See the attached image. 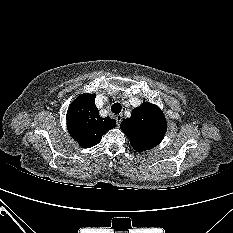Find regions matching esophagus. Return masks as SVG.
I'll return each mask as SVG.
<instances>
[{
  "mask_svg": "<svg viewBox=\"0 0 233 233\" xmlns=\"http://www.w3.org/2000/svg\"><path fill=\"white\" fill-rule=\"evenodd\" d=\"M121 121H122V115H117V116H116V123H117V126L120 125Z\"/></svg>",
  "mask_w": 233,
  "mask_h": 233,
  "instance_id": "1",
  "label": "esophagus"
}]
</instances>
